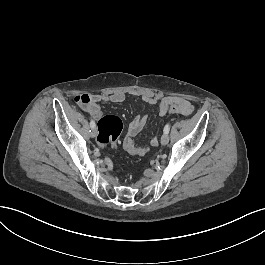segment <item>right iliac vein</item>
<instances>
[{
	"label": "right iliac vein",
	"instance_id": "right-iliac-vein-1",
	"mask_svg": "<svg viewBox=\"0 0 265 265\" xmlns=\"http://www.w3.org/2000/svg\"><path fill=\"white\" fill-rule=\"evenodd\" d=\"M97 135H98V132H97L96 128H93V129L91 130V136H92V137H96Z\"/></svg>",
	"mask_w": 265,
	"mask_h": 265
}]
</instances>
